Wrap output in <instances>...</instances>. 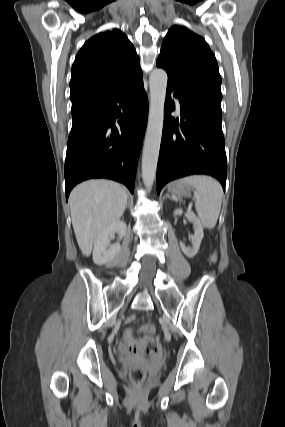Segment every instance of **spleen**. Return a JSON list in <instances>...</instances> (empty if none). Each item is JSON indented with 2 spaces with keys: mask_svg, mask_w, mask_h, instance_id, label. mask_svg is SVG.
<instances>
[{
  "mask_svg": "<svg viewBox=\"0 0 285 427\" xmlns=\"http://www.w3.org/2000/svg\"><path fill=\"white\" fill-rule=\"evenodd\" d=\"M193 186L195 207L201 224L212 229L215 227L221 210L223 190L220 183L210 176L193 175L182 180Z\"/></svg>",
  "mask_w": 285,
  "mask_h": 427,
  "instance_id": "1",
  "label": "spleen"
}]
</instances>
